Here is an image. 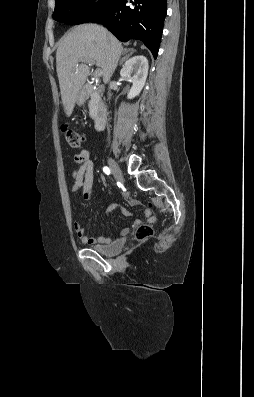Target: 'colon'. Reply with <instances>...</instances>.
Segmentation results:
<instances>
[{"mask_svg": "<svg viewBox=\"0 0 254 397\" xmlns=\"http://www.w3.org/2000/svg\"><path fill=\"white\" fill-rule=\"evenodd\" d=\"M62 133L67 143L74 149H78L81 146L82 138L79 133L70 129L67 126H62ZM153 233L152 228L149 225H141L136 231V238L139 241L148 239Z\"/></svg>", "mask_w": 254, "mask_h": 397, "instance_id": "obj_1", "label": "colon"}]
</instances>
